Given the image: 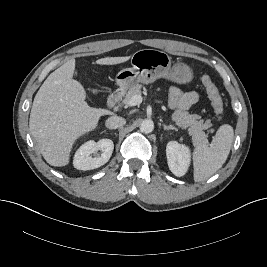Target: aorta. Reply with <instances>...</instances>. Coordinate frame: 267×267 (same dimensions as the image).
<instances>
[{
	"label": "aorta",
	"mask_w": 267,
	"mask_h": 267,
	"mask_svg": "<svg viewBox=\"0 0 267 267\" xmlns=\"http://www.w3.org/2000/svg\"><path fill=\"white\" fill-rule=\"evenodd\" d=\"M154 129V122L151 119H144L140 124V131L142 133H151Z\"/></svg>",
	"instance_id": "762f6f07"
}]
</instances>
